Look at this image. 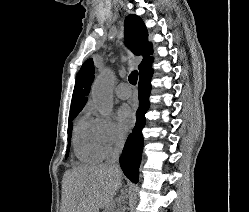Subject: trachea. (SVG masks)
<instances>
[{
  "label": "trachea",
  "instance_id": "3493384b",
  "mask_svg": "<svg viewBox=\"0 0 249 212\" xmlns=\"http://www.w3.org/2000/svg\"><path fill=\"white\" fill-rule=\"evenodd\" d=\"M138 79V71L133 70V72L130 73L128 80L132 85H136Z\"/></svg>",
  "mask_w": 249,
  "mask_h": 212
}]
</instances>
